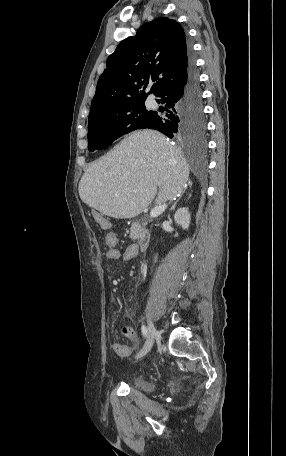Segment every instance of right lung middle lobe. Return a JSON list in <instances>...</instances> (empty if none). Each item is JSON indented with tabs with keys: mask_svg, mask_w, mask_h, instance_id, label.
I'll return each mask as SVG.
<instances>
[{
	"mask_svg": "<svg viewBox=\"0 0 286 456\" xmlns=\"http://www.w3.org/2000/svg\"><path fill=\"white\" fill-rule=\"evenodd\" d=\"M144 101L117 105L88 121V149H104L116 139L136 129L147 128L155 111L146 110ZM202 125L192 124L188 133L200 134Z\"/></svg>",
	"mask_w": 286,
	"mask_h": 456,
	"instance_id": "1",
	"label": "right lung middle lobe"
}]
</instances>
